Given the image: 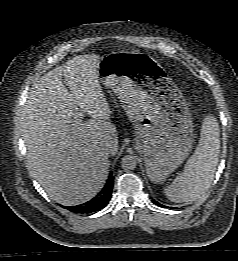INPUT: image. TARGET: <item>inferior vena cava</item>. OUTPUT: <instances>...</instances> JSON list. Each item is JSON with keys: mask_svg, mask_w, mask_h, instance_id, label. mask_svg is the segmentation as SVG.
<instances>
[{"mask_svg": "<svg viewBox=\"0 0 238 261\" xmlns=\"http://www.w3.org/2000/svg\"><path fill=\"white\" fill-rule=\"evenodd\" d=\"M105 149H106V151L108 152V151H109V145H106V146H105Z\"/></svg>", "mask_w": 238, "mask_h": 261, "instance_id": "602c4592", "label": "inferior vena cava"}]
</instances>
